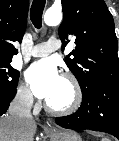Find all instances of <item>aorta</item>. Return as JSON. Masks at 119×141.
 <instances>
[{"label": "aorta", "mask_w": 119, "mask_h": 141, "mask_svg": "<svg viewBox=\"0 0 119 141\" xmlns=\"http://www.w3.org/2000/svg\"><path fill=\"white\" fill-rule=\"evenodd\" d=\"M62 20V12L60 9L50 8L45 12L44 22L48 26H56Z\"/></svg>", "instance_id": "obj_1"}]
</instances>
